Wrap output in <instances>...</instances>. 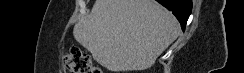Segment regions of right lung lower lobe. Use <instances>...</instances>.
Masks as SVG:
<instances>
[{
	"label": "right lung lower lobe",
	"mask_w": 244,
	"mask_h": 73,
	"mask_svg": "<svg viewBox=\"0 0 244 73\" xmlns=\"http://www.w3.org/2000/svg\"><path fill=\"white\" fill-rule=\"evenodd\" d=\"M176 16L184 30L192 11V0H156Z\"/></svg>",
	"instance_id": "obj_1"
}]
</instances>
